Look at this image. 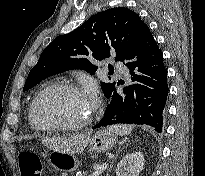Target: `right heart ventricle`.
<instances>
[{
  "instance_id": "e07e8e85",
  "label": "right heart ventricle",
  "mask_w": 205,
  "mask_h": 176,
  "mask_svg": "<svg viewBox=\"0 0 205 176\" xmlns=\"http://www.w3.org/2000/svg\"><path fill=\"white\" fill-rule=\"evenodd\" d=\"M31 106H32V104L30 105L29 110H28V121H29V123H30V125H31V127H32L33 129L39 130V129L35 126V124L33 123L32 119H31V114H30Z\"/></svg>"
}]
</instances>
